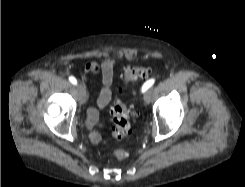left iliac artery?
Returning <instances> with one entry per match:
<instances>
[{
	"mask_svg": "<svg viewBox=\"0 0 245 187\" xmlns=\"http://www.w3.org/2000/svg\"><path fill=\"white\" fill-rule=\"evenodd\" d=\"M154 82V79H149L148 81H146L142 86V92H145L147 89H149L154 84Z\"/></svg>",
	"mask_w": 245,
	"mask_h": 187,
	"instance_id": "obj_1",
	"label": "left iliac artery"
}]
</instances>
